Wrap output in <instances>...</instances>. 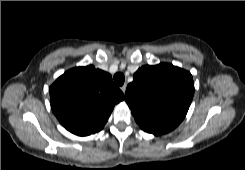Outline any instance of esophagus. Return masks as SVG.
<instances>
[{
  "label": "esophagus",
  "mask_w": 245,
  "mask_h": 170,
  "mask_svg": "<svg viewBox=\"0 0 245 170\" xmlns=\"http://www.w3.org/2000/svg\"><path fill=\"white\" fill-rule=\"evenodd\" d=\"M121 90H122L123 94L125 95V92H126V85H123V86L121 87Z\"/></svg>",
  "instance_id": "esophagus-1"
}]
</instances>
